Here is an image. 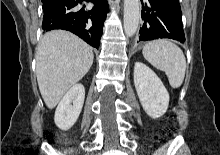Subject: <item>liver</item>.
Masks as SVG:
<instances>
[{
    "label": "liver",
    "mask_w": 220,
    "mask_h": 155,
    "mask_svg": "<svg viewBox=\"0 0 220 155\" xmlns=\"http://www.w3.org/2000/svg\"><path fill=\"white\" fill-rule=\"evenodd\" d=\"M92 48L64 30L47 32L36 51V75L42 98L53 109L93 64Z\"/></svg>",
    "instance_id": "6515ba94"
}]
</instances>
